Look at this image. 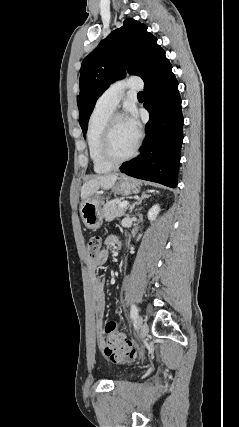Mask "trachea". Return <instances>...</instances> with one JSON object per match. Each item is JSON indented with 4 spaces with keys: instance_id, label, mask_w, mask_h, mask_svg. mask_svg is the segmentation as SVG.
<instances>
[{
    "instance_id": "1",
    "label": "trachea",
    "mask_w": 239,
    "mask_h": 427,
    "mask_svg": "<svg viewBox=\"0 0 239 427\" xmlns=\"http://www.w3.org/2000/svg\"><path fill=\"white\" fill-rule=\"evenodd\" d=\"M138 96L142 97V96H144V93H143L142 91H140V92L138 93Z\"/></svg>"
}]
</instances>
